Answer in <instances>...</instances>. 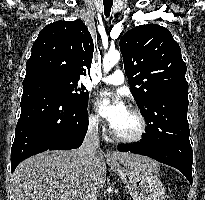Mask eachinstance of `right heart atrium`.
Segmentation results:
<instances>
[{
  "label": "right heart atrium",
  "mask_w": 205,
  "mask_h": 200,
  "mask_svg": "<svg viewBox=\"0 0 205 200\" xmlns=\"http://www.w3.org/2000/svg\"><path fill=\"white\" fill-rule=\"evenodd\" d=\"M88 124L90 129L98 131L101 127V120L97 114L90 113L88 117Z\"/></svg>",
  "instance_id": "1"
}]
</instances>
